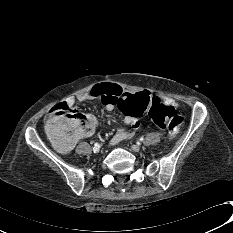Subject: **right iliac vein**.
<instances>
[{"mask_svg": "<svg viewBox=\"0 0 233 233\" xmlns=\"http://www.w3.org/2000/svg\"><path fill=\"white\" fill-rule=\"evenodd\" d=\"M93 151H95V153L99 152V148H93Z\"/></svg>", "mask_w": 233, "mask_h": 233, "instance_id": "63e3f726", "label": "right iliac vein"}]
</instances>
